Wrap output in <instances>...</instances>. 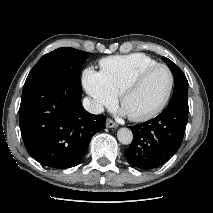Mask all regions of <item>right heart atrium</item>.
Returning a JSON list of instances; mask_svg holds the SVG:
<instances>
[{"label": "right heart atrium", "instance_id": "right-heart-atrium-1", "mask_svg": "<svg viewBox=\"0 0 213 213\" xmlns=\"http://www.w3.org/2000/svg\"><path fill=\"white\" fill-rule=\"evenodd\" d=\"M82 82L95 110L100 111L115 103L116 95L109 89L100 72L91 67L87 68L83 73Z\"/></svg>", "mask_w": 213, "mask_h": 213}]
</instances>
